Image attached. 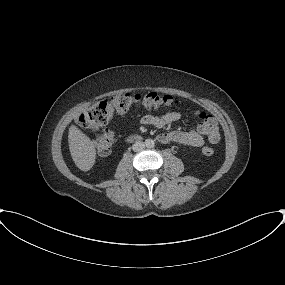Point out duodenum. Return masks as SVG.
Listing matches in <instances>:
<instances>
[{"instance_id": "obj_1", "label": "duodenum", "mask_w": 285, "mask_h": 285, "mask_svg": "<svg viewBox=\"0 0 285 285\" xmlns=\"http://www.w3.org/2000/svg\"><path fill=\"white\" fill-rule=\"evenodd\" d=\"M137 139H138V136H136V135H130V136L127 137V141L128 142H134Z\"/></svg>"}]
</instances>
